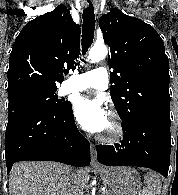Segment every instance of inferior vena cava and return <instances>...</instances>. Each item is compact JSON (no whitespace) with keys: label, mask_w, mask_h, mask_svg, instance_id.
Masks as SVG:
<instances>
[{"label":"inferior vena cava","mask_w":178,"mask_h":195,"mask_svg":"<svg viewBox=\"0 0 178 195\" xmlns=\"http://www.w3.org/2000/svg\"><path fill=\"white\" fill-rule=\"evenodd\" d=\"M72 178H73V194H75V195H81V193L80 192H78V190H77V178H78V175H77V173H74L73 175H72Z\"/></svg>","instance_id":"obj_1"}]
</instances>
